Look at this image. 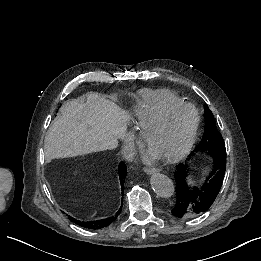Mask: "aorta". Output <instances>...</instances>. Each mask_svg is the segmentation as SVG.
I'll return each instance as SVG.
<instances>
[{
	"instance_id": "1",
	"label": "aorta",
	"mask_w": 261,
	"mask_h": 261,
	"mask_svg": "<svg viewBox=\"0 0 261 261\" xmlns=\"http://www.w3.org/2000/svg\"><path fill=\"white\" fill-rule=\"evenodd\" d=\"M150 184L153 191L162 198H168L174 194V184L172 180L164 174H153L150 178Z\"/></svg>"
}]
</instances>
